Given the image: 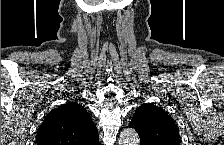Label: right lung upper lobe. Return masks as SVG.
Instances as JSON below:
<instances>
[{"label": "right lung upper lobe", "mask_w": 224, "mask_h": 145, "mask_svg": "<svg viewBox=\"0 0 224 145\" xmlns=\"http://www.w3.org/2000/svg\"><path fill=\"white\" fill-rule=\"evenodd\" d=\"M37 145H98V131L88 112L75 102L53 109L40 125Z\"/></svg>", "instance_id": "right-lung-upper-lobe-1"}]
</instances>
